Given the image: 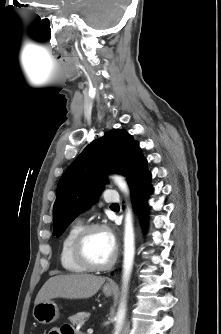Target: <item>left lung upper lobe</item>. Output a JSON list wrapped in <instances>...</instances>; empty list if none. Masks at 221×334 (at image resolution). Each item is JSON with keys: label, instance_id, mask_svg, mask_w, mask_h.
<instances>
[{"label": "left lung upper lobe", "instance_id": "5c2ea615", "mask_svg": "<svg viewBox=\"0 0 221 334\" xmlns=\"http://www.w3.org/2000/svg\"><path fill=\"white\" fill-rule=\"evenodd\" d=\"M146 165L139 143L124 130L108 131L94 140L58 183L53 234L60 236L80 212L96 201L107 181V173L122 174L130 183Z\"/></svg>", "mask_w": 221, "mask_h": 334}]
</instances>
